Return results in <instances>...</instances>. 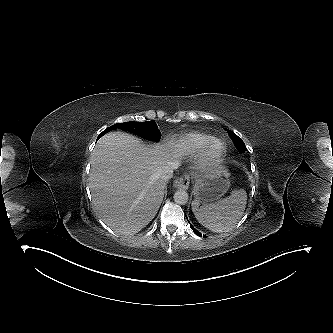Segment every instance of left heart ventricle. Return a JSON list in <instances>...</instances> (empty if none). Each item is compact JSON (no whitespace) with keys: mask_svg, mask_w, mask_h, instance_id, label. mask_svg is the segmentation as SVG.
<instances>
[{"mask_svg":"<svg viewBox=\"0 0 333 333\" xmlns=\"http://www.w3.org/2000/svg\"><path fill=\"white\" fill-rule=\"evenodd\" d=\"M218 147H219L218 145H217V146H215V149H218Z\"/></svg>","mask_w":333,"mask_h":333,"instance_id":"b2bd125f","label":"left heart ventricle"}]
</instances>
